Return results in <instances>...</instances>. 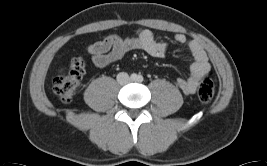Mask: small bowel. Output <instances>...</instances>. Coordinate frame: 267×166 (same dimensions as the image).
Listing matches in <instances>:
<instances>
[{"label": "small bowel", "instance_id": "obj_1", "mask_svg": "<svg viewBox=\"0 0 267 166\" xmlns=\"http://www.w3.org/2000/svg\"><path fill=\"white\" fill-rule=\"evenodd\" d=\"M175 41L184 44L190 50L193 63L188 77H180L176 80V86L185 94H192L203 76L208 74L210 64L201 45L184 34H176ZM168 43L155 39L154 33L149 29H140L136 36L123 37L111 34L104 39L87 46L92 62L97 67H106L120 61L124 55L132 50H143L154 57H165L168 52Z\"/></svg>", "mask_w": 267, "mask_h": 166}]
</instances>
